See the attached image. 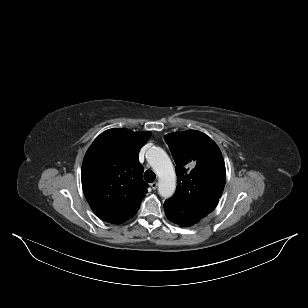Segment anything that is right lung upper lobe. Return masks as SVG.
Masks as SVG:
<instances>
[{"instance_id": "right-lung-upper-lobe-1", "label": "right lung upper lobe", "mask_w": 308, "mask_h": 308, "mask_svg": "<svg viewBox=\"0 0 308 308\" xmlns=\"http://www.w3.org/2000/svg\"><path fill=\"white\" fill-rule=\"evenodd\" d=\"M150 136V132L113 128L101 133L86 152L82 188L101 220L121 224L137 213L148 187L138 153Z\"/></svg>"}]
</instances>
